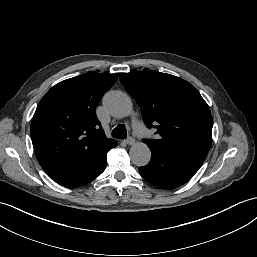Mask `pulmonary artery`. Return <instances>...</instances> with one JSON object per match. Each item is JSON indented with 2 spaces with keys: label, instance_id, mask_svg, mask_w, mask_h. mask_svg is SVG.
Wrapping results in <instances>:
<instances>
[{
  "label": "pulmonary artery",
  "instance_id": "pulmonary-artery-1",
  "mask_svg": "<svg viewBox=\"0 0 257 257\" xmlns=\"http://www.w3.org/2000/svg\"><path fill=\"white\" fill-rule=\"evenodd\" d=\"M133 130L138 135H145L146 134V128L144 124L140 121H134L132 123Z\"/></svg>",
  "mask_w": 257,
  "mask_h": 257
}]
</instances>
